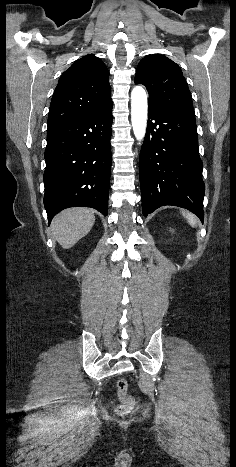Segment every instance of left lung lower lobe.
Segmentation results:
<instances>
[{"mask_svg": "<svg viewBox=\"0 0 236 467\" xmlns=\"http://www.w3.org/2000/svg\"><path fill=\"white\" fill-rule=\"evenodd\" d=\"M202 167L194 110L149 106L139 158L143 215L174 205L190 210L203 222Z\"/></svg>", "mask_w": 236, "mask_h": 467, "instance_id": "obj_1", "label": "left lung lower lobe"}]
</instances>
